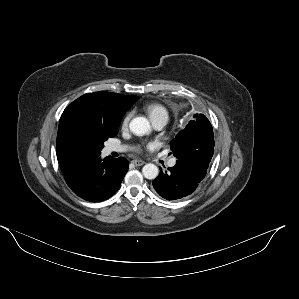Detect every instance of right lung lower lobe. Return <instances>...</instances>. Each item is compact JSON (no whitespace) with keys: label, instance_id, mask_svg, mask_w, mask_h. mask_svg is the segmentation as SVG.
<instances>
[{"label":"right lung lower lobe","instance_id":"1","mask_svg":"<svg viewBox=\"0 0 299 299\" xmlns=\"http://www.w3.org/2000/svg\"><path fill=\"white\" fill-rule=\"evenodd\" d=\"M100 155V154H99ZM90 156L73 171L64 174L71 190L81 198L99 202L111 197L119 188L129 163L127 159Z\"/></svg>","mask_w":299,"mask_h":299}]
</instances>
